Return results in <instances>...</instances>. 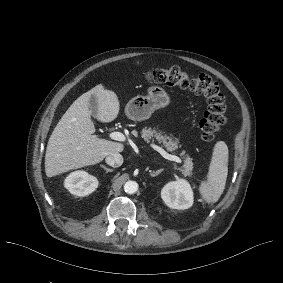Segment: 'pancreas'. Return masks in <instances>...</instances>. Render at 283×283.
Returning a JSON list of instances; mask_svg holds the SVG:
<instances>
[{"label": "pancreas", "instance_id": "pancreas-1", "mask_svg": "<svg viewBox=\"0 0 283 283\" xmlns=\"http://www.w3.org/2000/svg\"><path fill=\"white\" fill-rule=\"evenodd\" d=\"M141 137L149 143L150 140L153 138L156 139L159 143H162L163 146L167 149V151L172 152L178 149L180 147L179 140L167 136V135H162L161 133L157 132L156 130L152 128H143L141 131ZM181 156L185 155V151H182L180 153ZM192 169H193V162L192 158H190L188 155H186L185 160H184V165L182 169V173L184 176H191L192 175Z\"/></svg>", "mask_w": 283, "mask_h": 283}]
</instances>
